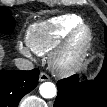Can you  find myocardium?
I'll return each mask as SVG.
<instances>
[{"instance_id":"obj_1","label":"myocardium","mask_w":107,"mask_h":107,"mask_svg":"<svg viewBox=\"0 0 107 107\" xmlns=\"http://www.w3.org/2000/svg\"><path fill=\"white\" fill-rule=\"evenodd\" d=\"M83 39L78 42V37ZM93 43L91 27L81 22L76 25L51 53L49 64L52 70L60 76H68L78 71L85 63Z\"/></svg>"}]
</instances>
